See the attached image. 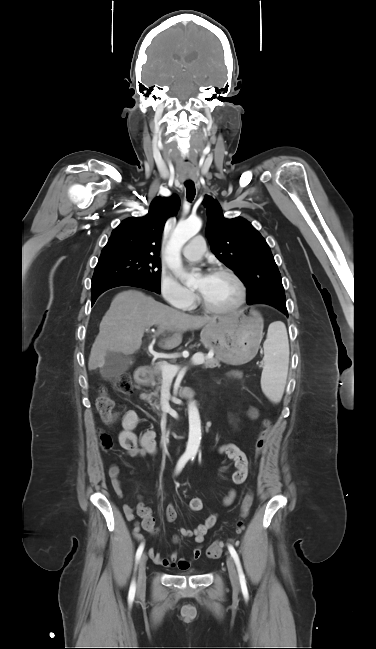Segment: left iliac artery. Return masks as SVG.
<instances>
[{
    "label": "left iliac artery",
    "mask_w": 376,
    "mask_h": 649,
    "mask_svg": "<svg viewBox=\"0 0 376 649\" xmlns=\"http://www.w3.org/2000/svg\"><path fill=\"white\" fill-rule=\"evenodd\" d=\"M228 549H229V552H230L231 556L233 557V559L235 561V564L237 566L241 588H242L243 591H247L246 579H245V575L243 573V570H242V567H241V564H240L239 556H238L236 550L234 549V547L232 545H228Z\"/></svg>",
    "instance_id": "obj_1"
}]
</instances>
